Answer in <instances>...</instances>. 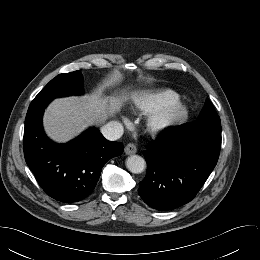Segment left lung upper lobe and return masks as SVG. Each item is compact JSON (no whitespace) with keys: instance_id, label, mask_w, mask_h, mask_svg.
Instances as JSON below:
<instances>
[{"instance_id":"left-lung-upper-lobe-1","label":"left lung upper lobe","mask_w":260,"mask_h":260,"mask_svg":"<svg viewBox=\"0 0 260 260\" xmlns=\"http://www.w3.org/2000/svg\"><path fill=\"white\" fill-rule=\"evenodd\" d=\"M182 127L197 133H206L221 136V121L212 103L207 99L199 120L195 123H186Z\"/></svg>"}]
</instances>
